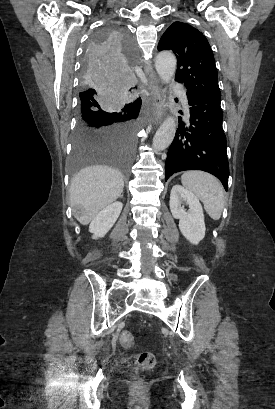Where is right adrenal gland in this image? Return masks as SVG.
Listing matches in <instances>:
<instances>
[{
  "mask_svg": "<svg viewBox=\"0 0 275 409\" xmlns=\"http://www.w3.org/2000/svg\"><path fill=\"white\" fill-rule=\"evenodd\" d=\"M123 194H121L120 198H122Z\"/></svg>",
  "mask_w": 275,
  "mask_h": 409,
  "instance_id": "1",
  "label": "right adrenal gland"
}]
</instances>
